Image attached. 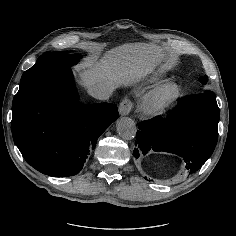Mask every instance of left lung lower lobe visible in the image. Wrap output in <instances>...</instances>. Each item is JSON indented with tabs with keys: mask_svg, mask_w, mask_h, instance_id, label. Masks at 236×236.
Here are the masks:
<instances>
[{
	"mask_svg": "<svg viewBox=\"0 0 236 236\" xmlns=\"http://www.w3.org/2000/svg\"><path fill=\"white\" fill-rule=\"evenodd\" d=\"M219 117L215 95L185 96L166 118L156 116L139 124L133 155L138 159L149 151L173 153L184 159L189 173H194L215 149Z\"/></svg>",
	"mask_w": 236,
	"mask_h": 236,
	"instance_id": "obj_1",
	"label": "left lung lower lobe"
}]
</instances>
